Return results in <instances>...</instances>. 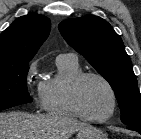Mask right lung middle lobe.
<instances>
[{
	"label": "right lung middle lobe",
	"mask_w": 141,
	"mask_h": 139,
	"mask_svg": "<svg viewBox=\"0 0 141 139\" xmlns=\"http://www.w3.org/2000/svg\"><path fill=\"white\" fill-rule=\"evenodd\" d=\"M28 63L0 65V110L32 102L26 85Z\"/></svg>",
	"instance_id": "right-lung-middle-lobe-1"
}]
</instances>
